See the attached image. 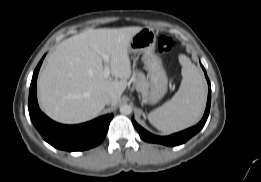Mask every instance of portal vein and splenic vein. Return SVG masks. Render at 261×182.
Segmentation results:
<instances>
[{
  "instance_id": "portal-vein-and-splenic-vein-1",
  "label": "portal vein and splenic vein",
  "mask_w": 261,
  "mask_h": 182,
  "mask_svg": "<svg viewBox=\"0 0 261 182\" xmlns=\"http://www.w3.org/2000/svg\"><path fill=\"white\" fill-rule=\"evenodd\" d=\"M103 60L105 62L104 67V77L108 78L110 76V67H109V55L107 53L102 54Z\"/></svg>"
}]
</instances>
